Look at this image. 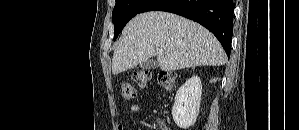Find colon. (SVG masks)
Returning <instances> with one entry per match:
<instances>
[{
	"instance_id": "colon-1",
	"label": "colon",
	"mask_w": 299,
	"mask_h": 130,
	"mask_svg": "<svg viewBox=\"0 0 299 130\" xmlns=\"http://www.w3.org/2000/svg\"><path fill=\"white\" fill-rule=\"evenodd\" d=\"M176 73L172 71H161L158 74V85L166 92L173 91L176 84ZM151 80V74L149 71H137L133 74L134 84L124 83L121 85V97L125 101L134 99L137 95L138 88H144ZM151 130H169L167 126L162 123L151 124L149 127Z\"/></svg>"
}]
</instances>
